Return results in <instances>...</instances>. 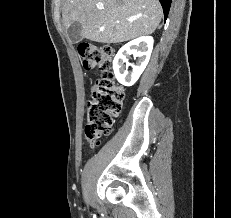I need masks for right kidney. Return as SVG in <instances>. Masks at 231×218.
Wrapping results in <instances>:
<instances>
[{
    "label": "right kidney",
    "mask_w": 231,
    "mask_h": 218,
    "mask_svg": "<svg viewBox=\"0 0 231 218\" xmlns=\"http://www.w3.org/2000/svg\"><path fill=\"white\" fill-rule=\"evenodd\" d=\"M151 36L134 39L121 47L113 60V70L116 79L124 86H132L146 68L153 49ZM138 58L136 64H130L129 58ZM132 71L128 72V67Z\"/></svg>",
    "instance_id": "right-kidney-1"
}]
</instances>
